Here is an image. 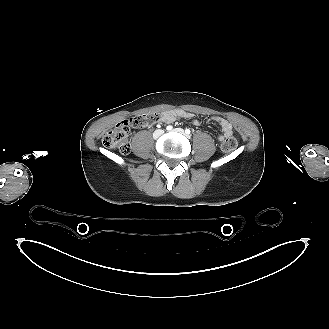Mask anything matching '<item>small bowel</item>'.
I'll use <instances>...</instances> for the list:
<instances>
[{"instance_id": "c3829d8e", "label": "small bowel", "mask_w": 329, "mask_h": 329, "mask_svg": "<svg viewBox=\"0 0 329 329\" xmlns=\"http://www.w3.org/2000/svg\"><path fill=\"white\" fill-rule=\"evenodd\" d=\"M193 115L183 109H174V110H167L161 113V122L165 124H170L175 122L178 119H192ZM211 120L217 121L221 126L223 135L218 137V141L221 142L225 138L233 136V127L232 124L225 118L219 116H212L206 119V122ZM193 124L200 125V121L193 119Z\"/></svg>"}]
</instances>
